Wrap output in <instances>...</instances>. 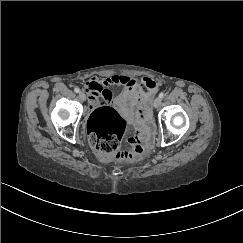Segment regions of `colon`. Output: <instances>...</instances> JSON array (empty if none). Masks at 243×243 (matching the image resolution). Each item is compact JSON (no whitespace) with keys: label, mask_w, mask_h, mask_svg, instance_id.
Returning a JSON list of instances; mask_svg holds the SVG:
<instances>
[{"label":"colon","mask_w":243,"mask_h":243,"mask_svg":"<svg viewBox=\"0 0 243 243\" xmlns=\"http://www.w3.org/2000/svg\"><path fill=\"white\" fill-rule=\"evenodd\" d=\"M148 107V101L145 100L139 108L140 117L147 123L149 122ZM87 129L91 143L104 158L138 160L149 147L150 134L140 132L135 138H127L129 146L122 148V142L127 134V123L116 109L109 106L92 111L87 121Z\"/></svg>","instance_id":"obj_1"}]
</instances>
